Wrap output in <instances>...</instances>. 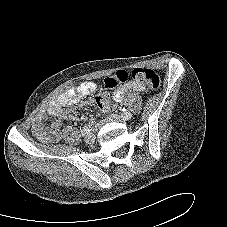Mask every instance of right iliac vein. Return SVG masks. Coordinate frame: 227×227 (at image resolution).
Listing matches in <instances>:
<instances>
[{
    "label": "right iliac vein",
    "instance_id": "right-iliac-vein-1",
    "mask_svg": "<svg viewBox=\"0 0 227 227\" xmlns=\"http://www.w3.org/2000/svg\"><path fill=\"white\" fill-rule=\"evenodd\" d=\"M85 141H86V143H89V144L94 143V141H95V136H94V134H93V133H88V134L85 136Z\"/></svg>",
    "mask_w": 227,
    "mask_h": 227
}]
</instances>
